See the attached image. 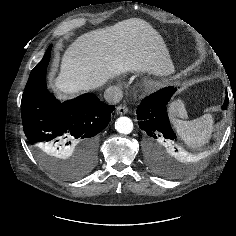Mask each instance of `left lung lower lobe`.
<instances>
[{"label": "left lung lower lobe", "instance_id": "left-lung-lower-lobe-1", "mask_svg": "<svg viewBox=\"0 0 236 236\" xmlns=\"http://www.w3.org/2000/svg\"><path fill=\"white\" fill-rule=\"evenodd\" d=\"M177 89L174 87H165L159 91L144 98L137 108V119L139 127L145 131L150 149V158L154 162L157 159L155 152V142L161 140H175L176 135L173 132L167 115V103ZM228 96L226 95L222 109H227Z\"/></svg>", "mask_w": 236, "mask_h": 236}]
</instances>
